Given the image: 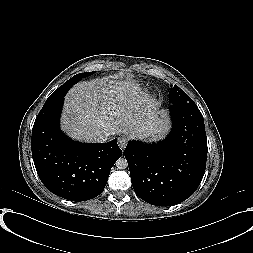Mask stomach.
Returning <instances> with one entry per match:
<instances>
[{
	"mask_svg": "<svg viewBox=\"0 0 253 253\" xmlns=\"http://www.w3.org/2000/svg\"><path fill=\"white\" fill-rule=\"evenodd\" d=\"M153 129L148 137L153 140L161 137L168 129V121L164 118L155 119L152 125Z\"/></svg>",
	"mask_w": 253,
	"mask_h": 253,
	"instance_id": "0dacf381",
	"label": "stomach"
}]
</instances>
